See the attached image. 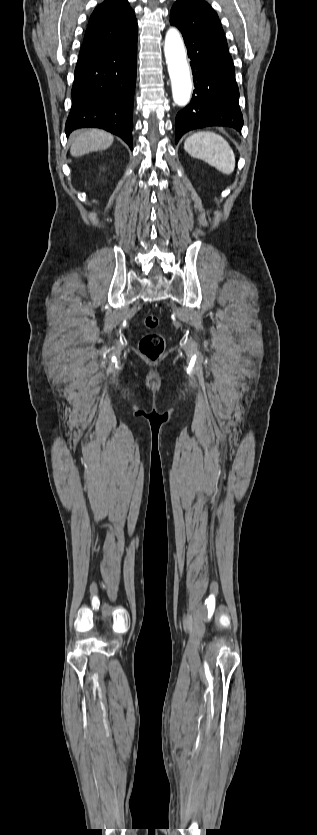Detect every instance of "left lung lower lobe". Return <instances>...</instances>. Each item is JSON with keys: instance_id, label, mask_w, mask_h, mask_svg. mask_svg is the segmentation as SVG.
<instances>
[{"instance_id": "obj_1", "label": "left lung lower lobe", "mask_w": 317, "mask_h": 835, "mask_svg": "<svg viewBox=\"0 0 317 835\" xmlns=\"http://www.w3.org/2000/svg\"><path fill=\"white\" fill-rule=\"evenodd\" d=\"M177 8L181 15L171 12L170 23L184 37L195 90L190 104L176 116L175 142L187 131L203 127L229 126L240 131L243 116L235 68L217 13L189 1L179 2Z\"/></svg>"}]
</instances>
